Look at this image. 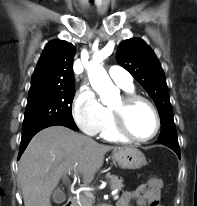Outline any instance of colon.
<instances>
[{"instance_id": "obj_1", "label": "colon", "mask_w": 197, "mask_h": 206, "mask_svg": "<svg viewBox=\"0 0 197 206\" xmlns=\"http://www.w3.org/2000/svg\"><path fill=\"white\" fill-rule=\"evenodd\" d=\"M148 184L150 187L157 189L161 186V181L158 178H151Z\"/></svg>"}]
</instances>
